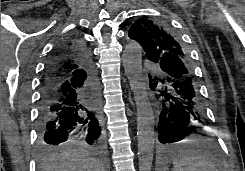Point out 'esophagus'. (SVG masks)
<instances>
[{
  "label": "esophagus",
  "mask_w": 245,
  "mask_h": 171,
  "mask_svg": "<svg viewBox=\"0 0 245 171\" xmlns=\"http://www.w3.org/2000/svg\"><path fill=\"white\" fill-rule=\"evenodd\" d=\"M129 102H130L131 106L134 107V102H133V99L131 97H129Z\"/></svg>",
  "instance_id": "esophagus-1"
}]
</instances>
